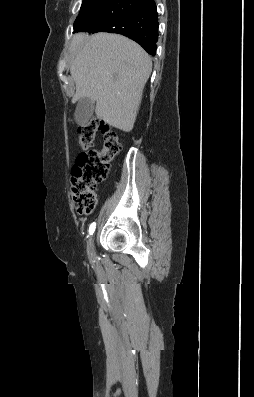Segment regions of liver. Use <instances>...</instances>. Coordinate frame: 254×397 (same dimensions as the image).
<instances>
[{
	"instance_id": "obj_1",
	"label": "liver",
	"mask_w": 254,
	"mask_h": 397,
	"mask_svg": "<svg viewBox=\"0 0 254 397\" xmlns=\"http://www.w3.org/2000/svg\"><path fill=\"white\" fill-rule=\"evenodd\" d=\"M72 102L90 98L97 117L124 132L133 129L151 71L149 55L134 41L111 33L75 34L70 44Z\"/></svg>"
}]
</instances>
